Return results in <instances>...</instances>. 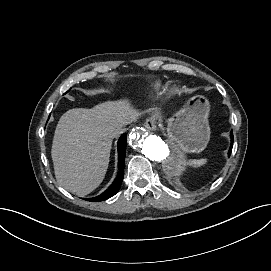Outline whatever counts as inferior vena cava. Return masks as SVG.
Masks as SVG:
<instances>
[{
  "label": "inferior vena cava",
  "mask_w": 271,
  "mask_h": 271,
  "mask_svg": "<svg viewBox=\"0 0 271 271\" xmlns=\"http://www.w3.org/2000/svg\"><path fill=\"white\" fill-rule=\"evenodd\" d=\"M125 131H126L125 128L117 129V130H116V132H117L116 136L120 135L122 132H125Z\"/></svg>",
  "instance_id": "602c4592"
}]
</instances>
